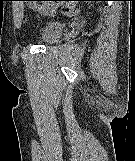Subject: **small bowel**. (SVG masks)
I'll use <instances>...</instances> for the list:
<instances>
[{"mask_svg":"<svg viewBox=\"0 0 135 161\" xmlns=\"http://www.w3.org/2000/svg\"><path fill=\"white\" fill-rule=\"evenodd\" d=\"M42 11L44 13L49 12V11H51V7L50 6H47L46 8H43Z\"/></svg>","mask_w":135,"mask_h":161,"instance_id":"obj_1","label":"small bowel"}]
</instances>
